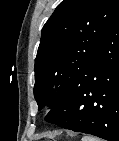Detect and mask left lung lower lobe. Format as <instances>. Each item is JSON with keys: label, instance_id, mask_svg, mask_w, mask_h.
<instances>
[{"label": "left lung lower lobe", "instance_id": "obj_1", "mask_svg": "<svg viewBox=\"0 0 119 141\" xmlns=\"http://www.w3.org/2000/svg\"><path fill=\"white\" fill-rule=\"evenodd\" d=\"M46 121L119 141V14L102 36L94 58L51 108Z\"/></svg>", "mask_w": 119, "mask_h": 141}]
</instances>
